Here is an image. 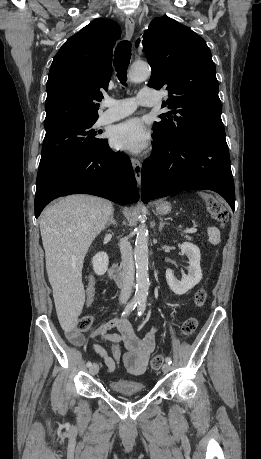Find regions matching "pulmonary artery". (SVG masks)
Listing matches in <instances>:
<instances>
[{
    "instance_id": "1",
    "label": "pulmonary artery",
    "mask_w": 261,
    "mask_h": 459,
    "mask_svg": "<svg viewBox=\"0 0 261 459\" xmlns=\"http://www.w3.org/2000/svg\"><path fill=\"white\" fill-rule=\"evenodd\" d=\"M156 103V94L150 88H142L136 98L106 99L103 106L106 110L101 114L99 122L109 124L132 114L138 105L151 106Z\"/></svg>"
}]
</instances>
